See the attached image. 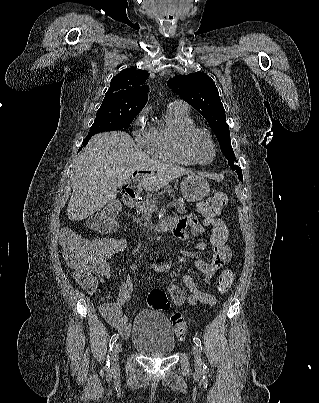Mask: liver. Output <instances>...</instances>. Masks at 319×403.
<instances>
[{
	"mask_svg": "<svg viewBox=\"0 0 319 403\" xmlns=\"http://www.w3.org/2000/svg\"><path fill=\"white\" fill-rule=\"evenodd\" d=\"M138 185L148 191L163 188L191 170L150 158L132 137L122 131L98 133L78 154L67 215L84 220L116 199L117 188L126 185L134 172Z\"/></svg>",
	"mask_w": 319,
	"mask_h": 403,
	"instance_id": "1",
	"label": "liver"
}]
</instances>
